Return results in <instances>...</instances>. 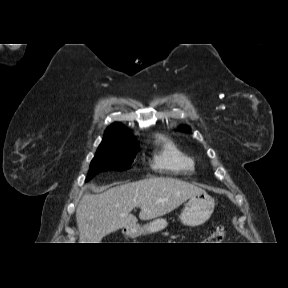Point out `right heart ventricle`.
<instances>
[{
  "instance_id": "e07e8e85",
  "label": "right heart ventricle",
  "mask_w": 288,
  "mask_h": 288,
  "mask_svg": "<svg viewBox=\"0 0 288 288\" xmlns=\"http://www.w3.org/2000/svg\"><path fill=\"white\" fill-rule=\"evenodd\" d=\"M161 142V150L154 160L157 168L175 173H190L194 171L195 162L190 156L183 153L175 144L165 138H162Z\"/></svg>"
}]
</instances>
